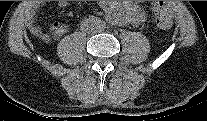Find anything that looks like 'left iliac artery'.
Here are the masks:
<instances>
[{
  "label": "left iliac artery",
  "mask_w": 207,
  "mask_h": 121,
  "mask_svg": "<svg viewBox=\"0 0 207 121\" xmlns=\"http://www.w3.org/2000/svg\"><path fill=\"white\" fill-rule=\"evenodd\" d=\"M100 27L104 28L105 27V22H100Z\"/></svg>",
  "instance_id": "left-iliac-artery-1"
}]
</instances>
